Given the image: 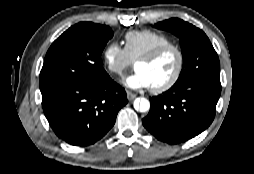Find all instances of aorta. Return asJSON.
Listing matches in <instances>:
<instances>
[{
  "label": "aorta",
  "instance_id": "762f6f07",
  "mask_svg": "<svg viewBox=\"0 0 254 174\" xmlns=\"http://www.w3.org/2000/svg\"><path fill=\"white\" fill-rule=\"evenodd\" d=\"M134 107L140 112H147L150 109V102L146 98H139L135 100Z\"/></svg>",
  "mask_w": 254,
  "mask_h": 174
}]
</instances>
